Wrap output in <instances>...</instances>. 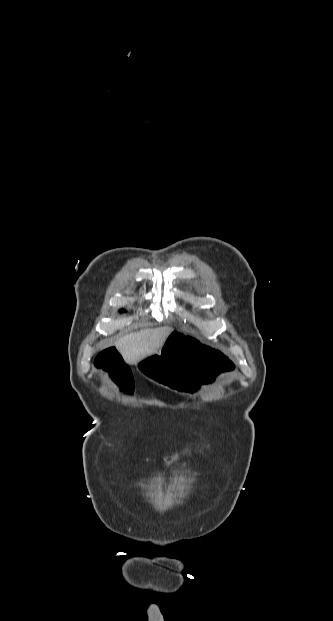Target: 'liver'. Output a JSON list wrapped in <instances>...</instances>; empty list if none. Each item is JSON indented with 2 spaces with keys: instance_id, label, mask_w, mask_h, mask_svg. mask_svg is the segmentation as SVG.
Returning a JSON list of instances; mask_svg holds the SVG:
<instances>
[{
  "instance_id": "liver-1",
  "label": "liver",
  "mask_w": 333,
  "mask_h": 621,
  "mask_svg": "<svg viewBox=\"0 0 333 621\" xmlns=\"http://www.w3.org/2000/svg\"><path fill=\"white\" fill-rule=\"evenodd\" d=\"M171 332L169 327L145 329L125 335L115 345L124 361L133 365L156 353Z\"/></svg>"
}]
</instances>
